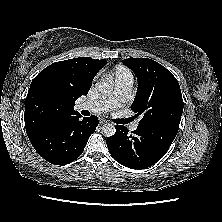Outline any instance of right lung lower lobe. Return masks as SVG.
<instances>
[{
    "mask_svg": "<svg viewBox=\"0 0 222 222\" xmlns=\"http://www.w3.org/2000/svg\"><path fill=\"white\" fill-rule=\"evenodd\" d=\"M80 117L58 119L27 133L32 146L52 164L64 165L74 161L82 154L99 123L95 116Z\"/></svg>",
    "mask_w": 222,
    "mask_h": 222,
    "instance_id": "obj_1",
    "label": "right lung lower lobe"
}]
</instances>
